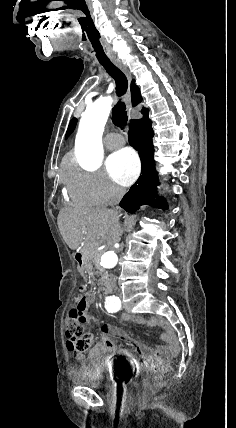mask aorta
Instances as JSON below:
<instances>
[{
  "label": "aorta",
  "instance_id": "762f6f07",
  "mask_svg": "<svg viewBox=\"0 0 236 428\" xmlns=\"http://www.w3.org/2000/svg\"><path fill=\"white\" fill-rule=\"evenodd\" d=\"M112 102L109 96L100 97L82 114L75 140V150L77 158L87 168H96L103 159L102 134ZM117 263L118 256L114 251L103 253L101 259L103 268H114Z\"/></svg>",
  "mask_w": 236,
  "mask_h": 428
}]
</instances>
